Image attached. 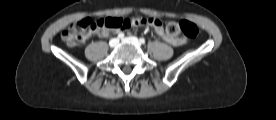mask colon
I'll return each mask as SVG.
<instances>
[{
  "instance_id": "obj_1",
  "label": "colon",
  "mask_w": 276,
  "mask_h": 120,
  "mask_svg": "<svg viewBox=\"0 0 276 120\" xmlns=\"http://www.w3.org/2000/svg\"><path fill=\"white\" fill-rule=\"evenodd\" d=\"M156 20L158 19L141 17L85 18L72 23L62 32L61 38L68 45L76 46L79 41H82L86 35L92 32L125 29L132 26H152ZM166 33L170 36H176L182 33L186 37L194 39L198 35V28L193 22L187 20H182L180 22L170 21L166 24Z\"/></svg>"
}]
</instances>
